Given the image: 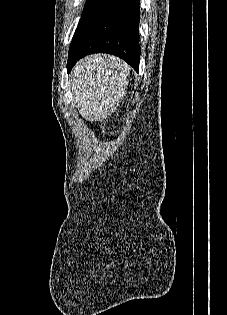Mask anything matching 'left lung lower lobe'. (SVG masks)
I'll use <instances>...</instances> for the list:
<instances>
[{
    "mask_svg": "<svg viewBox=\"0 0 227 315\" xmlns=\"http://www.w3.org/2000/svg\"><path fill=\"white\" fill-rule=\"evenodd\" d=\"M140 0H97L81 18L70 44L67 70L92 53H110L139 69Z\"/></svg>",
    "mask_w": 227,
    "mask_h": 315,
    "instance_id": "0a47b994",
    "label": "left lung lower lobe"
}]
</instances>
